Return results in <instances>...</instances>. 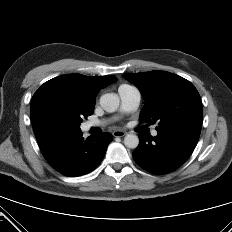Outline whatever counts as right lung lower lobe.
<instances>
[{"mask_svg":"<svg viewBox=\"0 0 232 232\" xmlns=\"http://www.w3.org/2000/svg\"><path fill=\"white\" fill-rule=\"evenodd\" d=\"M36 138L46 161L58 172L72 177L97 168L113 140L107 132L84 140L81 130L45 132Z\"/></svg>","mask_w":232,"mask_h":232,"instance_id":"right-lung-lower-lobe-1","label":"right lung lower lobe"}]
</instances>
